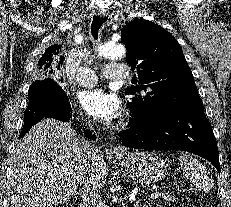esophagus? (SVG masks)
<instances>
[{
  "mask_svg": "<svg viewBox=\"0 0 231 207\" xmlns=\"http://www.w3.org/2000/svg\"><path fill=\"white\" fill-rule=\"evenodd\" d=\"M98 15L100 17H107L109 15V12L108 11H99ZM112 150H113V152L117 153V152L122 151V147L119 145H113Z\"/></svg>",
  "mask_w": 231,
  "mask_h": 207,
  "instance_id": "1",
  "label": "esophagus"
}]
</instances>
